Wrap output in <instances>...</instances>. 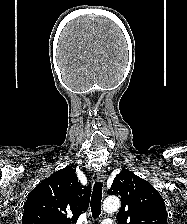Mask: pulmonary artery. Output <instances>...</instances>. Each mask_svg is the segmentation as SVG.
<instances>
[{
    "label": "pulmonary artery",
    "instance_id": "1",
    "mask_svg": "<svg viewBox=\"0 0 187 224\" xmlns=\"http://www.w3.org/2000/svg\"><path fill=\"white\" fill-rule=\"evenodd\" d=\"M101 224H114V222L111 219H105Z\"/></svg>",
    "mask_w": 187,
    "mask_h": 224
}]
</instances>
